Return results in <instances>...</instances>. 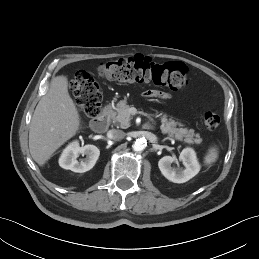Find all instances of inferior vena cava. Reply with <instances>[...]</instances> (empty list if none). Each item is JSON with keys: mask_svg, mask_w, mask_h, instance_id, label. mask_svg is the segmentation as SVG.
Returning <instances> with one entry per match:
<instances>
[{"mask_svg": "<svg viewBox=\"0 0 259 259\" xmlns=\"http://www.w3.org/2000/svg\"><path fill=\"white\" fill-rule=\"evenodd\" d=\"M107 136L113 140H121L125 137V132L118 129H111L107 132Z\"/></svg>", "mask_w": 259, "mask_h": 259, "instance_id": "602c4592", "label": "inferior vena cava"}]
</instances>
